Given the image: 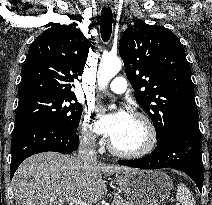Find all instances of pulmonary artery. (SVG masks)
<instances>
[{"mask_svg": "<svg viewBox=\"0 0 212 205\" xmlns=\"http://www.w3.org/2000/svg\"><path fill=\"white\" fill-rule=\"evenodd\" d=\"M127 89V82L124 77H116L108 86V90L113 93L122 94Z\"/></svg>", "mask_w": 212, "mask_h": 205, "instance_id": "1", "label": "pulmonary artery"}]
</instances>
